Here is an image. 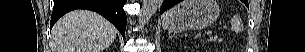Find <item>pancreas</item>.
Segmentation results:
<instances>
[{
    "label": "pancreas",
    "instance_id": "cf45deb5",
    "mask_svg": "<svg viewBox=\"0 0 305 52\" xmlns=\"http://www.w3.org/2000/svg\"><path fill=\"white\" fill-rule=\"evenodd\" d=\"M211 40H212V41H216L217 38H216V37H212Z\"/></svg>",
    "mask_w": 305,
    "mask_h": 52
}]
</instances>
